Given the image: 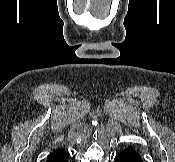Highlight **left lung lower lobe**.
Returning a JSON list of instances; mask_svg holds the SVG:
<instances>
[{
  "instance_id": "obj_1",
  "label": "left lung lower lobe",
  "mask_w": 175,
  "mask_h": 162,
  "mask_svg": "<svg viewBox=\"0 0 175 162\" xmlns=\"http://www.w3.org/2000/svg\"><path fill=\"white\" fill-rule=\"evenodd\" d=\"M115 162H142L140 155L130 146L115 156Z\"/></svg>"
}]
</instances>
